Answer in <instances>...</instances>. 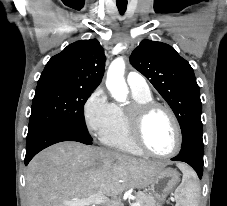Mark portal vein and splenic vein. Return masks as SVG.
Masks as SVG:
<instances>
[{"label":"portal vein and splenic vein","instance_id":"obj_1","mask_svg":"<svg viewBox=\"0 0 227 206\" xmlns=\"http://www.w3.org/2000/svg\"><path fill=\"white\" fill-rule=\"evenodd\" d=\"M108 202H109V199L105 198L102 192H98L92 196H89L86 199L67 202L66 204L67 206H89L95 203H108ZM131 206H140V203L135 202Z\"/></svg>","mask_w":227,"mask_h":206}]
</instances>
